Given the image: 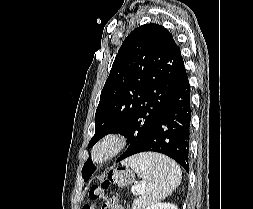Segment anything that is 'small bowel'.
Returning a JSON list of instances; mask_svg holds the SVG:
<instances>
[{
	"mask_svg": "<svg viewBox=\"0 0 253 209\" xmlns=\"http://www.w3.org/2000/svg\"><path fill=\"white\" fill-rule=\"evenodd\" d=\"M117 209H122V208L120 206H118Z\"/></svg>",
	"mask_w": 253,
	"mask_h": 209,
	"instance_id": "obj_1",
	"label": "small bowel"
}]
</instances>
